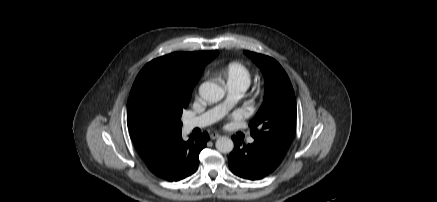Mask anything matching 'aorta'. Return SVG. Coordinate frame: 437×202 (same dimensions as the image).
I'll use <instances>...</instances> for the list:
<instances>
[{"label": "aorta", "instance_id": "obj_1", "mask_svg": "<svg viewBox=\"0 0 437 202\" xmlns=\"http://www.w3.org/2000/svg\"><path fill=\"white\" fill-rule=\"evenodd\" d=\"M199 94L205 101L216 103L224 97L225 92L222 87L213 82H204L199 87ZM215 146L221 153H230L234 148V143L232 139L224 136L217 139Z\"/></svg>", "mask_w": 437, "mask_h": 202}]
</instances>
